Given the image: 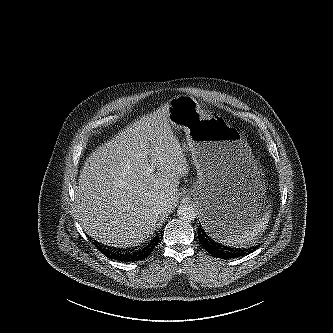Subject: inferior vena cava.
<instances>
[{"instance_id":"inferior-vena-cava-1","label":"inferior vena cava","mask_w":333,"mask_h":333,"mask_svg":"<svg viewBox=\"0 0 333 333\" xmlns=\"http://www.w3.org/2000/svg\"><path fill=\"white\" fill-rule=\"evenodd\" d=\"M166 211H167L166 206L164 205V203L160 202V204H159V205L157 206V208H156V213H157L158 215H160V214L165 213Z\"/></svg>"}]
</instances>
